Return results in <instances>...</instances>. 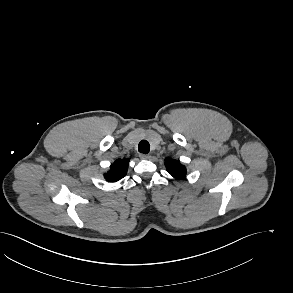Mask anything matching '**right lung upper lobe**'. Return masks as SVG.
Wrapping results in <instances>:
<instances>
[{
	"instance_id": "cb5924a9",
	"label": "right lung upper lobe",
	"mask_w": 293,
	"mask_h": 293,
	"mask_svg": "<svg viewBox=\"0 0 293 293\" xmlns=\"http://www.w3.org/2000/svg\"><path fill=\"white\" fill-rule=\"evenodd\" d=\"M129 159H118L111 166L110 170L104 174L107 181L116 182L122 179L128 170Z\"/></svg>"
}]
</instances>
